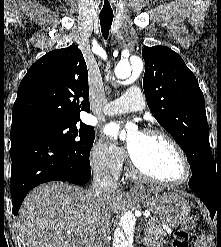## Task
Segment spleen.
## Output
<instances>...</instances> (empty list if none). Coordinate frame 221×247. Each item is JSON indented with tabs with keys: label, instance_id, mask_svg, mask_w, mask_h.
Segmentation results:
<instances>
[{
	"label": "spleen",
	"instance_id": "spleen-1",
	"mask_svg": "<svg viewBox=\"0 0 221 247\" xmlns=\"http://www.w3.org/2000/svg\"><path fill=\"white\" fill-rule=\"evenodd\" d=\"M207 244L204 243V238L201 237L200 239L197 240V242L195 243V247H206Z\"/></svg>",
	"mask_w": 221,
	"mask_h": 247
}]
</instances>
